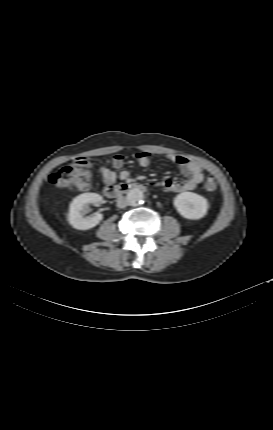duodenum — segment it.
I'll return each instance as SVG.
<instances>
[{
	"label": "duodenum",
	"instance_id": "410a0bca",
	"mask_svg": "<svg viewBox=\"0 0 273 430\" xmlns=\"http://www.w3.org/2000/svg\"><path fill=\"white\" fill-rule=\"evenodd\" d=\"M133 190L146 191L147 186L141 183H122L120 185L108 184L104 189V194L108 198H117Z\"/></svg>",
	"mask_w": 273,
	"mask_h": 430
}]
</instances>
